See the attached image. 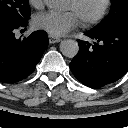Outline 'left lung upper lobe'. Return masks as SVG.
I'll return each mask as SVG.
<instances>
[{"instance_id": "left-lung-upper-lobe-1", "label": "left lung upper lobe", "mask_w": 128, "mask_h": 128, "mask_svg": "<svg viewBox=\"0 0 128 128\" xmlns=\"http://www.w3.org/2000/svg\"><path fill=\"white\" fill-rule=\"evenodd\" d=\"M111 11L93 30L105 32L110 29L128 25V0H111Z\"/></svg>"}]
</instances>
